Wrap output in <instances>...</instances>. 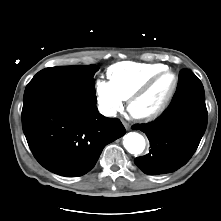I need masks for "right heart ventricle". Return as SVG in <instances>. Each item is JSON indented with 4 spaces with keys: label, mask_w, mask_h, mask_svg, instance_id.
Wrapping results in <instances>:
<instances>
[{
    "label": "right heart ventricle",
    "mask_w": 221,
    "mask_h": 221,
    "mask_svg": "<svg viewBox=\"0 0 221 221\" xmlns=\"http://www.w3.org/2000/svg\"><path fill=\"white\" fill-rule=\"evenodd\" d=\"M165 68L167 66L160 63L121 62L108 68L107 77L121 98L127 100L148 79Z\"/></svg>",
    "instance_id": "obj_1"
}]
</instances>
